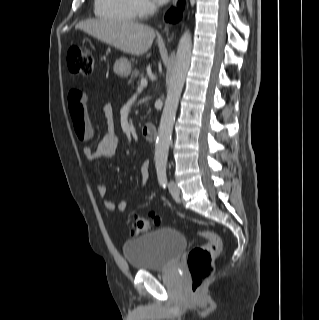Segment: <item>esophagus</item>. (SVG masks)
Segmentation results:
<instances>
[{"instance_id":"1","label":"esophagus","mask_w":319,"mask_h":320,"mask_svg":"<svg viewBox=\"0 0 319 320\" xmlns=\"http://www.w3.org/2000/svg\"><path fill=\"white\" fill-rule=\"evenodd\" d=\"M177 1H178V0H173L172 5H173V6H176ZM165 32H166V34L168 35V33H169V31H168V26L165 27Z\"/></svg>"}]
</instances>
